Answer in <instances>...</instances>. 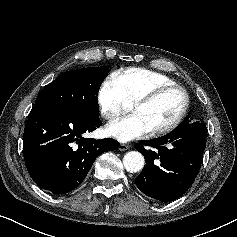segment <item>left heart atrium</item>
Here are the masks:
<instances>
[{"label": "left heart atrium", "instance_id": "39dd6f15", "mask_svg": "<svg viewBox=\"0 0 237 237\" xmlns=\"http://www.w3.org/2000/svg\"><path fill=\"white\" fill-rule=\"evenodd\" d=\"M105 132L110 137L122 142H127L141 138L150 131L140 116L130 114L108 124L105 128Z\"/></svg>", "mask_w": 237, "mask_h": 237}]
</instances>
